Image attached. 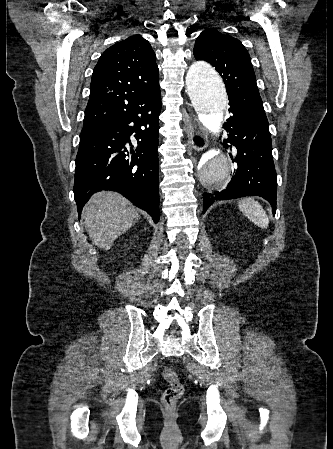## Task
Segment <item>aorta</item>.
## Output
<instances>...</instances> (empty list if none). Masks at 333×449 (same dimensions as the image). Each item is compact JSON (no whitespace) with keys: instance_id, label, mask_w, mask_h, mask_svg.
Returning a JSON list of instances; mask_svg holds the SVG:
<instances>
[{"instance_id":"762f6f07","label":"aorta","mask_w":333,"mask_h":449,"mask_svg":"<svg viewBox=\"0 0 333 449\" xmlns=\"http://www.w3.org/2000/svg\"><path fill=\"white\" fill-rule=\"evenodd\" d=\"M186 92L200 120H221L228 99L221 77L210 64L196 61L189 67ZM229 173L230 159L219 150L204 153L193 169L196 182L210 192L225 188Z\"/></svg>"}]
</instances>
